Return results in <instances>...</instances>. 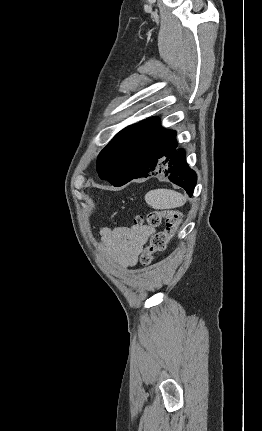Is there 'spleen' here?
<instances>
[{"label": "spleen", "mask_w": 262, "mask_h": 431, "mask_svg": "<svg viewBox=\"0 0 262 431\" xmlns=\"http://www.w3.org/2000/svg\"><path fill=\"white\" fill-rule=\"evenodd\" d=\"M145 201L154 209H171L183 206L186 198L174 190L155 189L145 195Z\"/></svg>", "instance_id": "3e777b00"}]
</instances>
